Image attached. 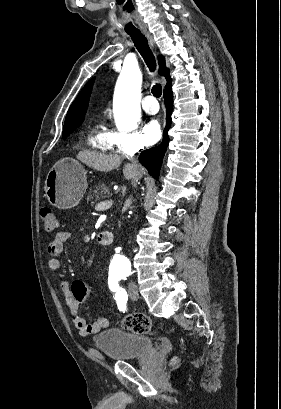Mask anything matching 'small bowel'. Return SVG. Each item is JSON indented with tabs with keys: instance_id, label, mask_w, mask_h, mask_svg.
<instances>
[{
	"instance_id": "small-bowel-1",
	"label": "small bowel",
	"mask_w": 281,
	"mask_h": 409,
	"mask_svg": "<svg viewBox=\"0 0 281 409\" xmlns=\"http://www.w3.org/2000/svg\"><path fill=\"white\" fill-rule=\"evenodd\" d=\"M70 238L71 232L69 230H61L49 244L48 250L52 256L48 261L49 269L53 271L60 269L61 263L58 257L64 252V246ZM60 286L64 296V303L70 313L72 323L81 336L94 335L110 327V321L107 318L102 317L92 323H88L79 312L80 304L85 302L93 293V289L90 285L81 280L70 282L62 278L60 280Z\"/></svg>"
}]
</instances>
